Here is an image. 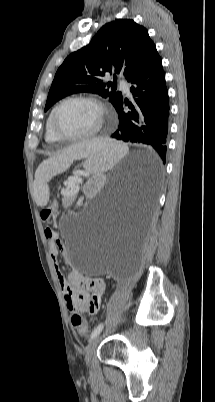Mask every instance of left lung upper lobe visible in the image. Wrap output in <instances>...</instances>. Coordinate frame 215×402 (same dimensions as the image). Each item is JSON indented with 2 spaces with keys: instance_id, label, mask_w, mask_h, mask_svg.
Segmentation results:
<instances>
[{
  "instance_id": "left-lung-upper-lobe-1",
  "label": "left lung upper lobe",
  "mask_w": 215,
  "mask_h": 402,
  "mask_svg": "<svg viewBox=\"0 0 215 402\" xmlns=\"http://www.w3.org/2000/svg\"><path fill=\"white\" fill-rule=\"evenodd\" d=\"M159 54L145 27L131 19L105 24L90 43L70 54L55 74L45 111L58 100L78 92L96 93L116 108L123 97L114 92V82H106V73H123L128 81L144 70ZM112 87V91H109Z\"/></svg>"
}]
</instances>
